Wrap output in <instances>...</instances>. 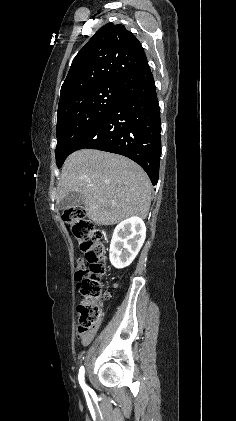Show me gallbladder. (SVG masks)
Instances as JSON below:
<instances>
[{"instance_id":"1","label":"gallbladder","mask_w":236,"mask_h":421,"mask_svg":"<svg viewBox=\"0 0 236 421\" xmlns=\"http://www.w3.org/2000/svg\"><path fill=\"white\" fill-rule=\"evenodd\" d=\"M80 204H84V198L80 192H69L67 196L61 198L59 200L57 206L60 208V211H68V208H76V206H80Z\"/></svg>"}]
</instances>
